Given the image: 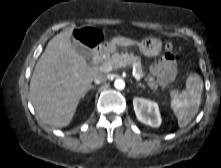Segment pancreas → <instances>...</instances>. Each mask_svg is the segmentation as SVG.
Listing matches in <instances>:
<instances>
[{
    "mask_svg": "<svg viewBox=\"0 0 221 168\" xmlns=\"http://www.w3.org/2000/svg\"><path fill=\"white\" fill-rule=\"evenodd\" d=\"M122 63L131 64L135 67V72L142 78L145 76L141 65V59L139 57L134 56L133 54L128 53H115L112 56H108L104 60H102V65H111L114 68L122 67ZM178 94L177 91H172L171 96H176Z\"/></svg>",
    "mask_w": 221,
    "mask_h": 168,
    "instance_id": "1",
    "label": "pancreas"
}]
</instances>
